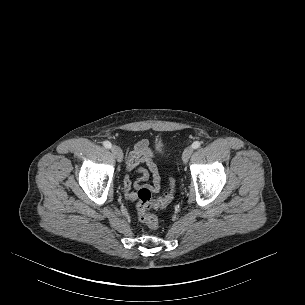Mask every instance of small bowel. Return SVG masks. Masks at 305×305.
I'll return each instance as SVG.
<instances>
[{"label":"small bowel","mask_w":305,"mask_h":305,"mask_svg":"<svg viewBox=\"0 0 305 305\" xmlns=\"http://www.w3.org/2000/svg\"><path fill=\"white\" fill-rule=\"evenodd\" d=\"M155 154L150 148V142L147 139H142L138 141L134 147L131 149L128 157L127 168L129 171H137L140 177L136 181H132L130 176H127L124 182V194L128 200L134 201L137 199V194L135 190L141 189L144 184L143 182L148 177L147 171L143 169H137L138 165L141 163H146L153 176V183L151 189L153 192H157L160 188V176L158 174L157 166L154 162Z\"/></svg>","instance_id":"small-bowel-1"}]
</instances>
